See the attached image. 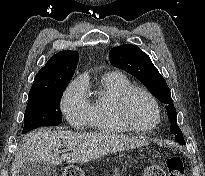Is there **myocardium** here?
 Instances as JSON below:
<instances>
[{
	"instance_id": "f54148a6",
	"label": "myocardium",
	"mask_w": 205,
	"mask_h": 176,
	"mask_svg": "<svg viewBox=\"0 0 205 176\" xmlns=\"http://www.w3.org/2000/svg\"><path fill=\"white\" fill-rule=\"evenodd\" d=\"M138 93L146 96L154 107V110L156 113V120L152 125H147V126L139 125V124H136L135 122H133L132 119L130 118V115L128 113V104H129V101L131 100V98L135 94H138ZM118 108H119V115H120L121 119L131 129L136 130V131H148L151 128L157 127L160 124L161 119H162L161 108H160V105H159L156 97L149 90H147L144 87L132 86L129 89H127L119 98Z\"/></svg>"
}]
</instances>
